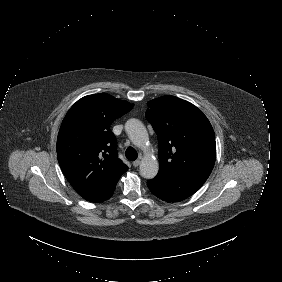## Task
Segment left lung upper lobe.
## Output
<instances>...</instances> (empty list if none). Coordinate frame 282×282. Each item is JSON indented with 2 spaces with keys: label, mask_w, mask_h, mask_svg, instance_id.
I'll return each mask as SVG.
<instances>
[{
  "label": "left lung upper lobe",
  "mask_w": 282,
  "mask_h": 282,
  "mask_svg": "<svg viewBox=\"0 0 282 282\" xmlns=\"http://www.w3.org/2000/svg\"><path fill=\"white\" fill-rule=\"evenodd\" d=\"M146 118L159 141V172L209 177L216 156L214 130L203 112L174 96L149 101Z\"/></svg>",
  "instance_id": "left-lung-upper-lobe-1"
}]
</instances>
